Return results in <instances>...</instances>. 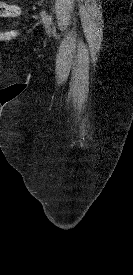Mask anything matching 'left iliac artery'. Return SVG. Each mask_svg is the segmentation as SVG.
I'll use <instances>...</instances> for the list:
<instances>
[{
  "label": "left iliac artery",
  "mask_w": 133,
  "mask_h": 275,
  "mask_svg": "<svg viewBox=\"0 0 133 275\" xmlns=\"http://www.w3.org/2000/svg\"><path fill=\"white\" fill-rule=\"evenodd\" d=\"M41 16L43 18V20L47 23V24H52V18L50 15H48L44 10L41 11Z\"/></svg>",
  "instance_id": "44dca946"
}]
</instances>
